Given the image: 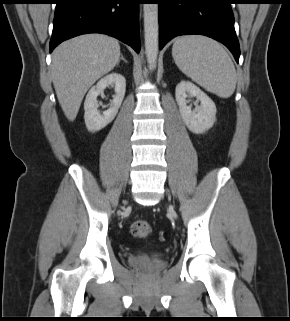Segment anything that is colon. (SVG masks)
<instances>
[{
  "label": "colon",
  "mask_w": 290,
  "mask_h": 321,
  "mask_svg": "<svg viewBox=\"0 0 290 321\" xmlns=\"http://www.w3.org/2000/svg\"><path fill=\"white\" fill-rule=\"evenodd\" d=\"M131 233L137 238L145 239L150 236L151 227L145 220H136L131 225Z\"/></svg>",
  "instance_id": "colon-1"
}]
</instances>
